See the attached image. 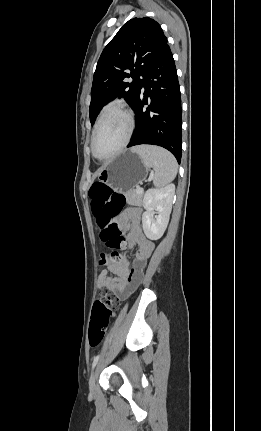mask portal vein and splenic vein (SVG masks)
Returning <instances> with one entry per match:
<instances>
[{
  "instance_id": "portal-vein-and-splenic-vein-1",
  "label": "portal vein and splenic vein",
  "mask_w": 261,
  "mask_h": 431,
  "mask_svg": "<svg viewBox=\"0 0 261 431\" xmlns=\"http://www.w3.org/2000/svg\"><path fill=\"white\" fill-rule=\"evenodd\" d=\"M150 178H152V174L150 175ZM150 178H149V179H150ZM137 192H138V193H141V192H143V188H141V187H138V188H137Z\"/></svg>"
}]
</instances>
